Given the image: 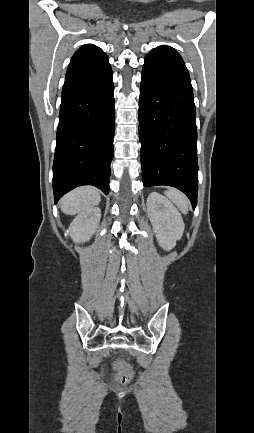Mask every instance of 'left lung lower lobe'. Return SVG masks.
<instances>
[{"label": "left lung lower lobe", "instance_id": "0a47b994", "mask_svg": "<svg viewBox=\"0 0 254 433\" xmlns=\"http://www.w3.org/2000/svg\"><path fill=\"white\" fill-rule=\"evenodd\" d=\"M193 89L183 61L149 53L142 70L139 138L145 187L173 186L197 204V129Z\"/></svg>", "mask_w": 254, "mask_h": 433}]
</instances>
